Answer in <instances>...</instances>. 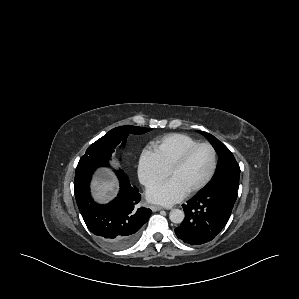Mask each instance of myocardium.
<instances>
[{
	"mask_svg": "<svg viewBox=\"0 0 299 299\" xmlns=\"http://www.w3.org/2000/svg\"><path fill=\"white\" fill-rule=\"evenodd\" d=\"M202 146H206L211 150L212 153V166L211 169L208 173V175L196 186H194L193 188H191L190 190L187 191V194H194L198 191H200L202 188H204L213 178L216 169H217V164H218V160H217V152L215 147L209 143V142H198L192 146H190L189 148H187L182 154L181 156L175 161V163L171 166V168L169 169V177L171 178V176L174 174V172H176L177 170H179L182 166H184V164L187 162V160L189 159V157L191 156V154L198 149L199 147Z\"/></svg>",
	"mask_w": 299,
	"mask_h": 299,
	"instance_id": "myocardium-1",
	"label": "myocardium"
}]
</instances>
